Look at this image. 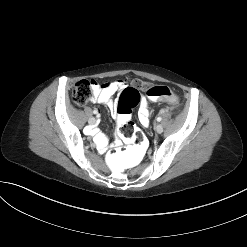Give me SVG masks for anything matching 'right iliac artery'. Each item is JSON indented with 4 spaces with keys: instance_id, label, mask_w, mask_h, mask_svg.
<instances>
[{
    "instance_id": "82829eb1",
    "label": "right iliac artery",
    "mask_w": 247,
    "mask_h": 247,
    "mask_svg": "<svg viewBox=\"0 0 247 247\" xmlns=\"http://www.w3.org/2000/svg\"><path fill=\"white\" fill-rule=\"evenodd\" d=\"M93 113H94V114H97V111H96V110H94V111H93Z\"/></svg>"
}]
</instances>
